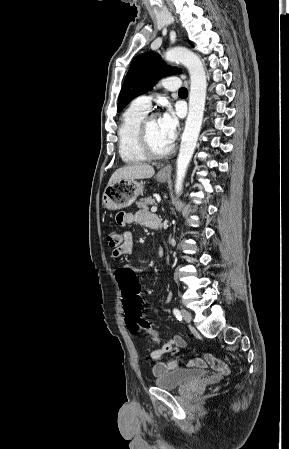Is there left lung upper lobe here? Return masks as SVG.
<instances>
[{
    "label": "left lung upper lobe",
    "mask_w": 289,
    "mask_h": 449,
    "mask_svg": "<svg viewBox=\"0 0 289 449\" xmlns=\"http://www.w3.org/2000/svg\"><path fill=\"white\" fill-rule=\"evenodd\" d=\"M177 72H179L177 68L166 66L155 52H147L135 57L120 91L118 112L132 99L151 90L161 76Z\"/></svg>",
    "instance_id": "obj_1"
}]
</instances>
